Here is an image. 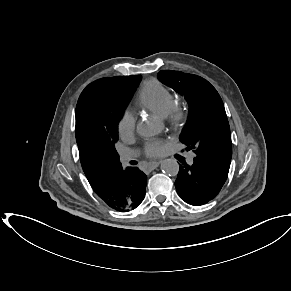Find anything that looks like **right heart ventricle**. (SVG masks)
<instances>
[{
    "label": "right heart ventricle",
    "instance_id": "1",
    "mask_svg": "<svg viewBox=\"0 0 291 291\" xmlns=\"http://www.w3.org/2000/svg\"><path fill=\"white\" fill-rule=\"evenodd\" d=\"M137 105L159 117H165L176 105V100L169 88L156 79H150L143 83Z\"/></svg>",
    "mask_w": 291,
    "mask_h": 291
}]
</instances>
